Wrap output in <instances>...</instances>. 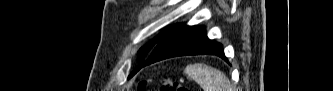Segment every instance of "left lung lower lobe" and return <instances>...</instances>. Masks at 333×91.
I'll return each mask as SVG.
<instances>
[{
    "instance_id": "1",
    "label": "left lung lower lobe",
    "mask_w": 333,
    "mask_h": 91,
    "mask_svg": "<svg viewBox=\"0 0 333 91\" xmlns=\"http://www.w3.org/2000/svg\"><path fill=\"white\" fill-rule=\"evenodd\" d=\"M205 54L217 55L227 61L222 45L209 40L203 27L177 24L165 33L138 70L146 65L171 57Z\"/></svg>"
}]
</instances>
